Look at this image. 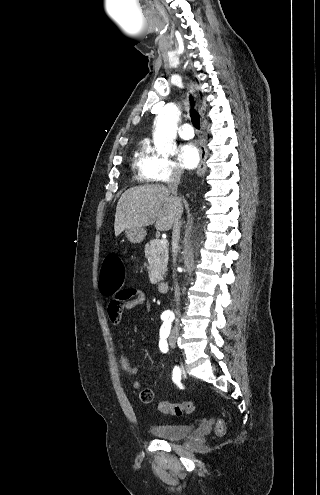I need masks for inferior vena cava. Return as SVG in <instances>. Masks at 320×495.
Masks as SVG:
<instances>
[{
  "label": "inferior vena cava",
  "instance_id": "obj_1",
  "mask_svg": "<svg viewBox=\"0 0 320 495\" xmlns=\"http://www.w3.org/2000/svg\"><path fill=\"white\" fill-rule=\"evenodd\" d=\"M181 175H182V171L180 169H178V168L174 169L173 174H172V176L168 182V188L173 195H177V188H178V184L180 182ZM180 227H181V221H180V218H178L174 222L173 232H172V245L176 251L173 255L174 267L176 266V261H177V247H178L179 239H180ZM173 277L174 278L176 277V272L174 273ZM174 298H175L176 305L178 306L179 300H180V289H179L178 283L176 282V279L174 281ZM175 313L177 316H179V309L178 308H177V310H175ZM172 331L173 332L178 331V321L176 322Z\"/></svg>",
  "mask_w": 320,
  "mask_h": 495
}]
</instances>
